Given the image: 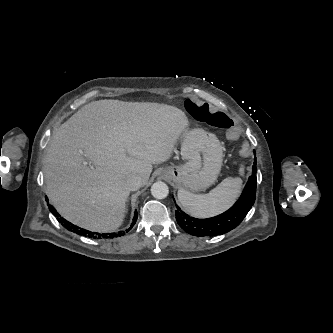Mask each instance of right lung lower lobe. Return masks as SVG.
Wrapping results in <instances>:
<instances>
[{
  "label": "right lung lower lobe",
  "instance_id": "right-lung-lower-lobe-1",
  "mask_svg": "<svg viewBox=\"0 0 333 333\" xmlns=\"http://www.w3.org/2000/svg\"><path fill=\"white\" fill-rule=\"evenodd\" d=\"M46 200L48 201V198L46 197ZM49 209L52 212V214L54 216L57 217V220L69 231L75 232L79 235H83L85 237H89V238H97V239H107V238H116V237H120L125 235L124 231H119L118 233H95V232H91L85 229H82L78 226L73 225L72 223L68 222L67 220H65L64 218L60 217V215L56 212L55 208L51 205H49ZM137 220V212H135V216L133 218V222L131 227L126 230V232H128L133 225L136 223Z\"/></svg>",
  "mask_w": 333,
  "mask_h": 333
}]
</instances>
